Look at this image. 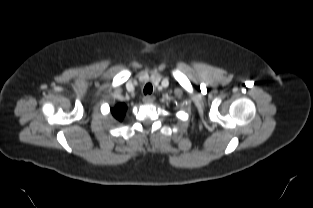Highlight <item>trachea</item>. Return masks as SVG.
Wrapping results in <instances>:
<instances>
[{
  "label": "trachea",
  "mask_w": 313,
  "mask_h": 208,
  "mask_svg": "<svg viewBox=\"0 0 313 208\" xmlns=\"http://www.w3.org/2000/svg\"><path fill=\"white\" fill-rule=\"evenodd\" d=\"M152 90H153V87L150 83L146 84L145 87H144V94L147 95V94H151L152 93Z\"/></svg>",
  "instance_id": "obj_1"
}]
</instances>
